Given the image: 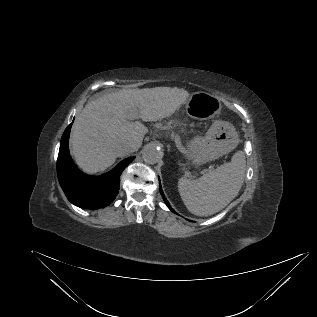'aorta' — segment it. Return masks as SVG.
<instances>
[{"label":"aorta","mask_w":317,"mask_h":317,"mask_svg":"<svg viewBox=\"0 0 317 317\" xmlns=\"http://www.w3.org/2000/svg\"><path fill=\"white\" fill-rule=\"evenodd\" d=\"M144 161L148 164H156L161 158L160 149L154 144H148L142 152Z\"/></svg>","instance_id":"obj_1"}]
</instances>
